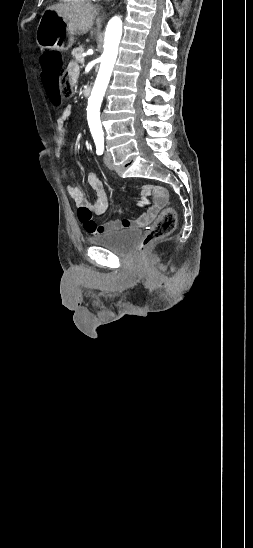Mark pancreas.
<instances>
[{"instance_id":"1","label":"pancreas","mask_w":253,"mask_h":548,"mask_svg":"<svg viewBox=\"0 0 253 548\" xmlns=\"http://www.w3.org/2000/svg\"><path fill=\"white\" fill-rule=\"evenodd\" d=\"M84 51L83 46L76 47L72 50L71 54L76 59V61L79 62L80 58H82V53Z\"/></svg>"}]
</instances>
